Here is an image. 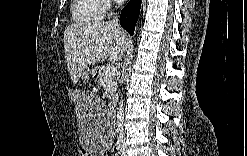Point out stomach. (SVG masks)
<instances>
[{"instance_id": "1", "label": "stomach", "mask_w": 247, "mask_h": 156, "mask_svg": "<svg viewBox=\"0 0 247 156\" xmlns=\"http://www.w3.org/2000/svg\"><path fill=\"white\" fill-rule=\"evenodd\" d=\"M89 74H90V70L89 68H85L81 74L82 78L86 79L89 77ZM92 76L93 77H96V74H97V68L93 69L92 72H91Z\"/></svg>"}]
</instances>
